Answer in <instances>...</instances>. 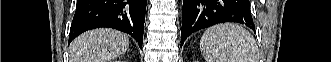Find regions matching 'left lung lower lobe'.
<instances>
[{
  "mask_svg": "<svg viewBox=\"0 0 331 62\" xmlns=\"http://www.w3.org/2000/svg\"><path fill=\"white\" fill-rule=\"evenodd\" d=\"M224 22L241 23L255 30L249 0H184L181 46L193 32Z\"/></svg>",
  "mask_w": 331,
  "mask_h": 62,
  "instance_id": "0a47b994",
  "label": "left lung lower lobe"
}]
</instances>
